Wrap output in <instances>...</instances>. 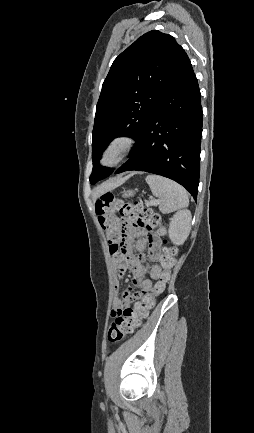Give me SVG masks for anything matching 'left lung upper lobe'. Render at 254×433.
<instances>
[{
	"instance_id": "obj_1",
	"label": "left lung upper lobe",
	"mask_w": 254,
	"mask_h": 433,
	"mask_svg": "<svg viewBox=\"0 0 254 433\" xmlns=\"http://www.w3.org/2000/svg\"><path fill=\"white\" fill-rule=\"evenodd\" d=\"M187 54L174 37L153 30L145 33L113 62L96 107L92 139L90 183L108 177L100 157L108 143L120 136L137 142Z\"/></svg>"
}]
</instances>
